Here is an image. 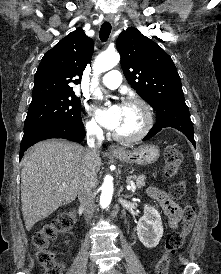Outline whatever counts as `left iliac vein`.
I'll use <instances>...</instances> for the list:
<instances>
[{"label": "left iliac vein", "mask_w": 221, "mask_h": 274, "mask_svg": "<svg viewBox=\"0 0 221 274\" xmlns=\"http://www.w3.org/2000/svg\"><path fill=\"white\" fill-rule=\"evenodd\" d=\"M111 274H121L118 270H113L112 272H111Z\"/></svg>", "instance_id": "4c4485c4"}]
</instances>
